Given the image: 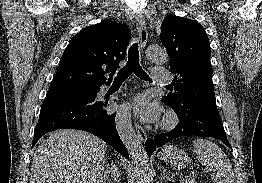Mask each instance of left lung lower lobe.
<instances>
[{"instance_id": "1", "label": "left lung lower lobe", "mask_w": 262, "mask_h": 183, "mask_svg": "<svg viewBox=\"0 0 262 183\" xmlns=\"http://www.w3.org/2000/svg\"><path fill=\"white\" fill-rule=\"evenodd\" d=\"M174 111L177 113L180 122L170 132L157 134L146 141L145 147L149 156L157 147L185 135L213 137L221 140L232 149L216 108L192 107L178 108L174 109Z\"/></svg>"}]
</instances>
